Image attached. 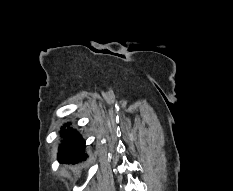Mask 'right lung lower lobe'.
Instances as JSON below:
<instances>
[{
  "label": "right lung lower lobe",
  "instance_id": "1",
  "mask_svg": "<svg viewBox=\"0 0 233 191\" xmlns=\"http://www.w3.org/2000/svg\"><path fill=\"white\" fill-rule=\"evenodd\" d=\"M61 132L64 140L59 148L58 159L63 162L85 160L84 141L80 134L70 127L63 128Z\"/></svg>",
  "mask_w": 233,
  "mask_h": 191
}]
</instances>
